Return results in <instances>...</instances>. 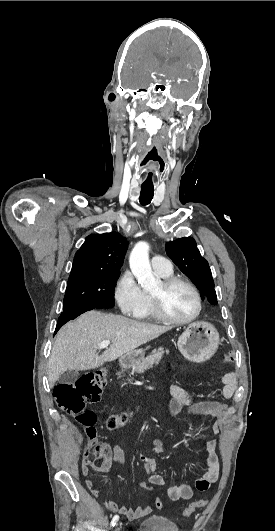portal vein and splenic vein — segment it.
Masks as SVG:
<instances>
[{"mask_svg":"<svg viewBox=\"0 0 275 531\" xmlns=\"http://www.w3.org/2000/svg\"><path fill=\"white\" fill-rule=\"evenodd\" d=\"M108 345H110V341H102V343H99L97 349H108Z\"/></svg>","mask_w":275,"mask_h":531,"instance_id":"portal-vein-and-splenic-vein-1","label":"portal vein and splenic vein"}]
</instances>
